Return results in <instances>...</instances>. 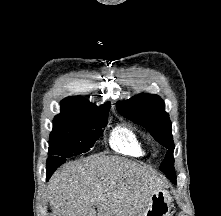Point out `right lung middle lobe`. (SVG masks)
I'll list each match as a JSON object with an SVG mask.
<instances>
[{
    "label": "right lung middle lobe",
    "instance_id": "dd1d6c3e",
    "mask_svg": "<svg viewBox=\"0 0 221 216\" xmlns=\"http://www.w3.org/2000/svg\"><path fill=\"white\" fill-rule=\"evenodd\" d=\"M108 113L82 117L70 123L53 126L50 134L47 170L60 166L66 158L88 152L107 125Z\"/></svg>",
    "mask_w": 221,
    "mask_h": 216
}]
</instances>
